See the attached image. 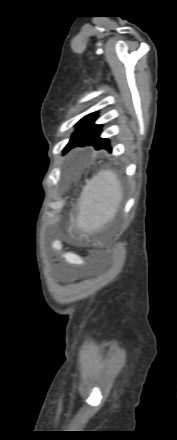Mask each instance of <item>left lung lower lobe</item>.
Returning <instances> with one entry per match:
<instances>
[{
    "mask_svg": "<svg viewBox=\"0 0 177 440\" xmlns=\"http://www.w3.org/2000/svg\"><path fill=\"white\" fill-rule=\"evenodd\" d=\"M101 128L97 129L93 133L89 134L82 140H80L76 146L83 147V146H94L96 150L105 149L109 152L112 151L110 147V142L108 139H104L100 137Z\"/></svg>",
    "mask_w": 177,
    "mask_h": 440,
    "instance_id": "0a47b994",
    "label": "left lung lower lobe"
}]
</instances>
